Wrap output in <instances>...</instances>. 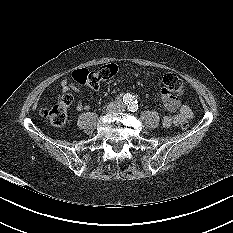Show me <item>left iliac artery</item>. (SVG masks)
<instances>
[{
  "mask_svg": "<svg viewBox=\"0 0 233 233\" xmlns=\"http://www.w3.org/2000/svg\"><path fill=\"white\" fill-rule=\"evenodd\" d=\"M128 109L131 112H136L138 109L137 101H131V103H129V105H128Z\"/></svg>",
  "mask_w": 233,
  "mask_h": 233,
  "instance_id": "obj_1",
  "label": "left iliac artery"
}]
</instances>
